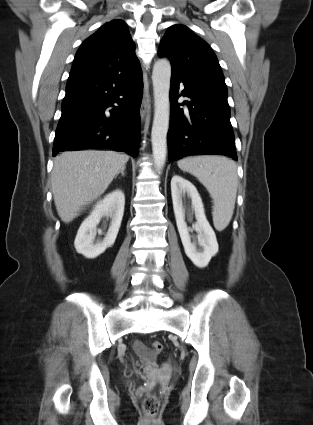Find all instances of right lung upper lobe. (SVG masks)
Instances as JSON below:
<instances>
[{"label":"right lung upper lobe","instance_id":"1","mask_svg":"<svg viewBox=\"0 0 313 425\" xmlns=\"http://www.w3.org/2000/svg\"><path fill=\"white\" fill-rule=\"evenodd\" d=\"M127 24L114 19L88 37L78 49L70 74L107 69L129 72L139 67Z\"/></svg>","mask_w":313,"mask_h":425}]
</instances>
